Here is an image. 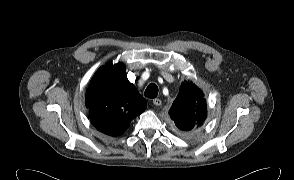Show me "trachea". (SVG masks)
I'll use <instances>...</instances> for the list:
<instances>
[{
  "instance_id": "3493384b",
  "label": "trachea",
  "mask_w": 294,
  "mask_h": 180,
  "mask_svg": "<svg viewBox=\"0 0 294 180\" xmlns=\"http://www.w3.org/2000/svg\"><path fill=\"white\" fill-rule=\"evenodd\" d=\"M158 95V87L156 84L151 83L145 90V96L148 98H155Z\"/></svg>"
}]
</instances>
